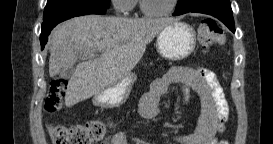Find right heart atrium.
<instances>
[{
    "instance_id": "d8ad5b80",
    "label": "right heart atrium",
    "mask_w": 273,
    "mask_h": 144,
    "mask_svg": "<svg viewBox=\"0 0 273 144\" xmlns=\"http://www.w3.org/2000/svg\"><path fill=\"white\" fill-rule=\"evenodd\" d=\"M135 0H111V4L116 13L127 14L133 10Z\"/></svg>"
}]
</instances>
